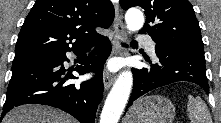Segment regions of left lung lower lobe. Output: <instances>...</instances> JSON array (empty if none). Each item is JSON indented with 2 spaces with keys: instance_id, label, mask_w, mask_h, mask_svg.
Returning a JSON list of instances; mask_svg holds the SVG:
<instances>
[{
  "instance_id": "0a47b994",
  "label": "left lung lower lobe",
  "mask_w": 221,
  "mask_h": 123,
  "mask_svg": "<svg viewBox=\"0 0 221 123\" xmlns=\"http://www.w3.org/2000/svg\"><path fill=\"white\" fill-rule=\"evenodd\" d=\"M137 45L136 42H133ZM158 62L151 69H132L133 90L126 109L145 93L177 81H189L209 91L204 53L188 49H171L156 45Z\"/></svg>"
}]
</instances>
